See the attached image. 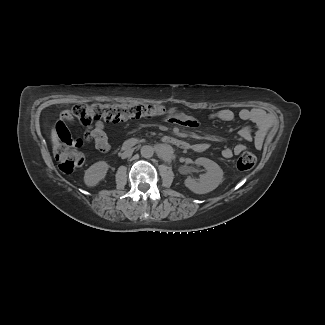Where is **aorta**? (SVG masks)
<instances>
[{"mask_svg": "<svg viewBox=\"0 0 325 325\" xmlns=\"http://www.w3.org/2000/svg\"><path fill=\"white\" fill-rule=\"evenodd\" d=\"M141 155L144 158H151L154 155V148L150 145H144L141 147Z\"/></svg>", "mask_w": 325, "mask_h": 325, "instance_id": "762f6f07", "label": "aorta"}]
</instances>
